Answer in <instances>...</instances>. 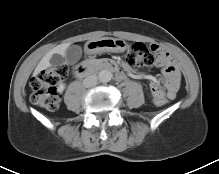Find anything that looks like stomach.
<instances>
[{
	"label": "stomach",
	"instance_id": "1",
	"mask_svg": "<svg viewBox=\"0 0 219 174\" xmlns=\"http://www.w3.org/2000/svg\"><path fill=\"white\" fill-rule=\"evenodd\" d=\"M127 48V43L123 39L101 38L91 40L86 43V50L90 54L101 52H123Z\"/></svg>",
	"mask_w": 219,
	"mask_h": 174
}]
</instances>
